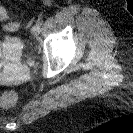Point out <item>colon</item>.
<instances>
[{
	"label": "colon",
	"mask_w": 133,
	"mask_h": 133,
	"mask_svg": "<svg viewBox=\"0 0 133 133\" xmlns=\"http://www.w3.org/2000/svg\"><path fill=\"white\" fill-rule=\"evenodd\" d=\"M0 20H10V22L7 24V26L12 29L15 30L18 27V23L13 20V18L11 17V15L8 13V11L0 6ZM17 100L16 94L13 91H8L6 92L3 96H2V103L5 106H12L15 104Z\"/></svg>",
	"instance_id": "1"
}]
</instances>
